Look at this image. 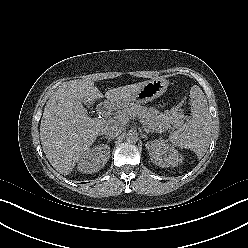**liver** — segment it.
I'll return each instance as SVG.
<instances>
[{"label": "liver", "mask_w": 248, "mask_h": 248, "mask_svg": "<svg viewBox=\"0 0 248 248\" xmlns=\"http://www.w3.org/2000/svg\"><path fill=\"white\" fill-rule=\"evenodd\" d=\"M145 82L114 88L105 95L90 80H71L58 88L47 101L40 124L41 144L50 164L68 175L100 133L101 122L87 114L82 100L89 104L103 97L127 100Z\"/></svg>", "instance_id": "1"}]
</instances>
